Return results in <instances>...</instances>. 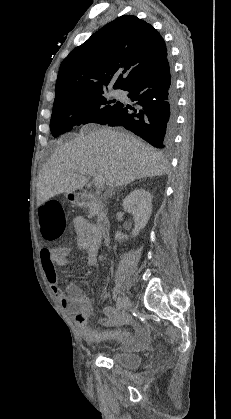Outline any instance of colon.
Segmentation results:
<instances>
[{"label":"colon","mask_w":231,"mask_h":419,"mask_svg":"<svg viewBox=\"0 0 231 419\" xmlns=\"http://www.w3.org/2000/svg\"><path fill=\"white\" fill-rule=\"evenodd\" d=\"M41 225L48 240H54L65 227V214L59 203H44L40 209Z\"/></svg>","instance_id":"5ec220e1"}]
</instances>
